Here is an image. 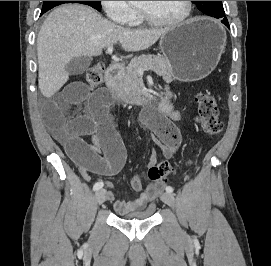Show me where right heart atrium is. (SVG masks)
Segmentation results:
<instances>
[{
    "instance_id": "d8ad5b80",
    "label": "right heart atrium",
    "mask_w": 271,
    "mask_h": 266,
    "mask_svg": "<svg viewBox=\"0 0 271 266\" xmlns=\"http://www.w3.org/2000/svg\"><path fill=\"white\" fill-rule=\"evenodd\" d=\"M100 3L108 19L115 24H131L136 17V9L127 1H100Z\"/></svg>"
}]
</instances>
